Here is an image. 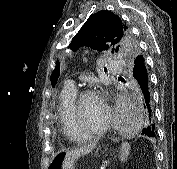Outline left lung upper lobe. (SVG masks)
<instances>
[{
	"mask_svg": "<svg viewBox=\"0 0 177 169\" xmlns=\"http://www.w3.org/2000/svg\"><path fill=\"white\" fill-rule=\"evenodd\" d=\"M81 46H90L98 51L112 49V53L116 52L127 62L139 54L130 28L119 16L107 10L92 14L73 38L69 48L75 51ZM56 81L57 78L51 79L53 87Z\"/></svg>",
	"mask_w": 177,
	"mask_h": 169,
	"instance_id": "1",
	"label": "left lung upper lobe"
}]
</instances>
